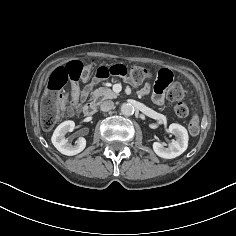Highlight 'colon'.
<instances>
[{"instance_id": "obj_1", "label": "colon", "mask_w": 236, "mask_h": 236, "mask_svg": "<svg viewBox=\"0 0 236 236\" xmlns=\"http://www.w3.org/2000/svg\"><path fill=\"white\" fill-rule=\"evenodd\" d=\"M110 76H119L133 83H141L149 79L151 75L146 68L139 65L115 64L93 68L90 65H83L80 61L69 62L65 66L55 69L48 80L47 91L41 107L43 129L50 130L59 121L65 108L61 91L68 83L74 84L75 87L80 80H103ZM154 91L166 93L167 98L176 103L175 112L179 117L189 116L190 109L185 102L186 91L180 84L173 83V74L170 70L163 69L159 72ZM78 106L79 100L72 97L71 110L76 111ZM188 129L192 136L199 134L200 126L197 115L192 116Z\"/></svg>"}]
</instances>
